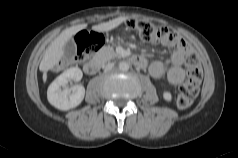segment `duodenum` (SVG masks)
<instances>
[{
  "label": "duodenum",
  "mask_w": 238,
  "mask_h": 158,
  "mask_svg": "<svg viewBox=\"0 0 238 158\" xmlns=\"http://www.w3.org/2000/svg\"><path fill=\"white\" fill-rule=\"evenodd\" d=\"M132 62L135 66L139 68H145L147 66V61L145 58L140 56L132 57ZM100 69V62L98 60H91L84 64V71L87 74H95Z\"/></svg>",
  "instance_id": "1"
}]
</instances>
